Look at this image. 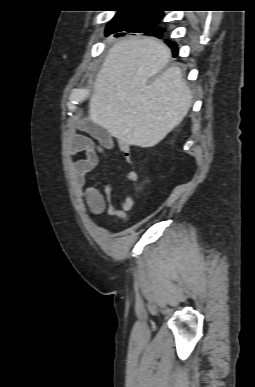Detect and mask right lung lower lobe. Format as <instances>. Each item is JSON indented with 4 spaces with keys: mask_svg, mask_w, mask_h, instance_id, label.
Segmentation results:
<instances>
[{
    "mask_svg": "<svg viewBox=\"0 0 255 387\" xmlns=\"http://www.w3.org/2000/svg\"><path fill=\"white\" fill-rule=\"evenodd\" d=\"M146 35H152V36H156V37H161V35L155 33V32H145ZM168 43V45L173 49V56H176L177 53H178V49H177V45L174 43V42H171V41H166Z\"/></svg>",
    "mask_w": 255,
    "mask_h": 387,
    "instance_id": "98d812e1",
    "label": "right lung lower lobe"
}]
</instances>
